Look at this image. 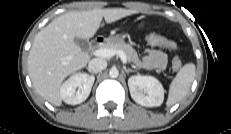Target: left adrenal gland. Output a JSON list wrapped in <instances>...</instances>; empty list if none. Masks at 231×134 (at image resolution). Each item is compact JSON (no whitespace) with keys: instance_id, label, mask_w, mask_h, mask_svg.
Listing matches in <instances>:
<instances>
[{"instance_id":"obj_1","label":"left adrenal gland","mask_w":231,"mask_h":134,"mask_svg":"<svg viewBox=\"0 0 231 134\" xmlns=\"http://www.w3.org/2000/svg\"><path fill=\"white\" fill-rule=\"evenodd\" d=\"M124 70H125V72H126V73H129V72H134V70H132V69H129V68H126V67H124Z\"/></svg>"}]
</instances>
